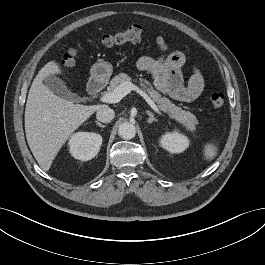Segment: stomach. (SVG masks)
I'll list each match as a JSON object with an SVG mask.
<instances>
[{
  "label": "stomach",
  "instance_id": "1",
  "mask_svg": "<svg viewBox=\"0 0 265 265\" xmlns=\"http://www.w3.org/2000/svg\"><path fill=\"white\" fill-rule=\"evenodd\" d=\"M113 67L107 61H99L95 63L90 70V79L94 82L103 84L106 83L112 75Z\"/></svg>",
  "mask_w": 265,
  "mask_h": 265
}]
</instances>
